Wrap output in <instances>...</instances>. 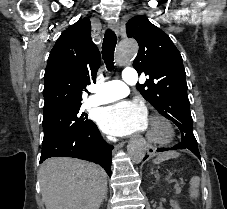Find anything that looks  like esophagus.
Instances as JSON below:
<instances>
[{
  "label": "esophagus",
  "instance_id": "obj_1",
  "mask_svg": "<svg viewBox=\"0 0 227 209\" xmlns=\"http://www.w3.org/2000/svg\"><path fill=\"white\" fill-rule=\"evenodd\" d=\"M112 28L114 29L115 33L119 34V29H120L119 24L113 23ZM149 147L151 149H148L147 153L149 154V156H152V154L156 153V150L152 149L154 147L152 144Z\"/></svg>",
  "mask_w": 227,
  "mask_h": 209
}]
</instances>
